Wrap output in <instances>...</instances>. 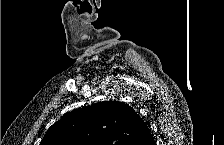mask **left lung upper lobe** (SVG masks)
I'll return each instance as SVG.
<instances>
[{"label":"left lung upper lobe","instance_id":"obj_1","mask_svg":"<svg viewBox=\"0 0 224 145\" xmlns=\"http://www.w3.org/2000/svg\"><path fill=\"white\" fill-rule=\"evenodd\" d=\"M144 124L123 102H98L63 116L40 145H133Z\"/></svg>","mask_w":224,"mask_h":145}]
</instances>
